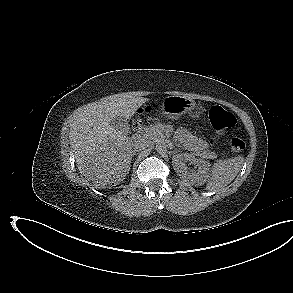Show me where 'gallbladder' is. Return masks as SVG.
<instances>
[{
	"label": "gallbladder",
	"instance_id": "bac80fb5",
	"mask_svg": "<svg viewBox=\"0 0 293 293\" xmlns=\"http://www.w3.org/2000/svg\"><path fill=\"white\" fill-rule=\"evenodd\" d=\"M110 125L117 131H121L123 134H130V125L128 121L123 117H115L110 121Z\"/></svg>",
	"mask_w": 293,
	"mask_h": 293
}]
</instances>
